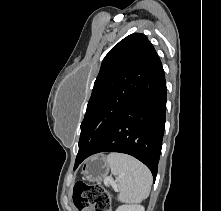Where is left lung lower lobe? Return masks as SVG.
<instances>
[{
  "label": "left lung lower lobe",
  "instance_id": "left-lung-lower-lobe-1",
  "mask_svg": "<svg viewBox=\"0 0 221 211\" xmlns=\"http://www.w3.org/2000/svg\"><path fill=\"white\" fill-rule=\"evenodd\" d=\"M166 82L160 59L154 63L139 92L124 108L104 137L75 163L99 152L129 154L143 162L156 179L165 127Z\"/></svg>",
  "mask_w": 221,
  "mask_h": 211
}]
</instances>
